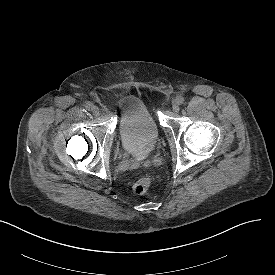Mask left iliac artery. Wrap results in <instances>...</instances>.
I'll return each instance as SVG.
<instances>
[{
    "mask_svg": "<svg viewBox=\"0 0 275 275\" xmlns=\"http://www.w3.org/2000/svg\"><path fill=\"white\" fill-rule=\"evenodd\" d=\"M177 101L179 104H183L184 103V98L182 96H177Z\"/></svg>",
    "mask_w": 275,
    "mask_h": 275,
    "instance_id": "left-iliac-artery-1",
    "label": "left iliac artery"
}]
</instances>
